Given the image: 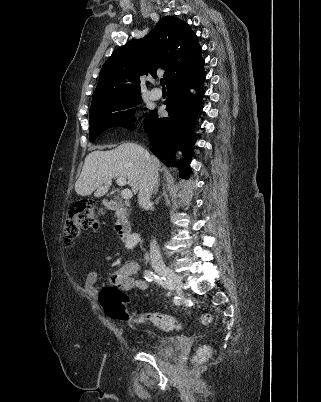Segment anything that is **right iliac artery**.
Returning <instances> with one entry per match:
<instances>
[{"label": "right iliac artery", "mask_w": 321, "mask_h": 402, "mask_svg": "<svg viewBox=\"0 0 321 402\" xmlns=\"http://www.w3.org/2000/svg\"><path fill=\"white\" fill-rule=\"evenodd\" d=\"M144 276L147 281L157 282L158 284L162 285L165 289H167L169 291L173 289L170 281H168L164 277H159L157 274H155L154 272H152L150 270H146L144 273ZM168 293L170 294V292H168ZM174 302L175 303L178 302V297H175Z\"/></svg>", "instance_id": "obj_1"}]
</instances>
